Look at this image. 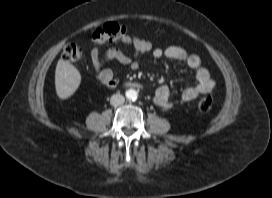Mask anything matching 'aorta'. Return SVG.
<instances>
[{
    "label": "aorta",
    "instance_id": "obj_1",
    "mask_svg": "<svg viewBox=\"0 0 272 198\" xmlns=\"http://www.w3.org/2000/svg\"><path fill=\"white\" fill-rule=\"evenodd\" d=\"M126 97L128 100L135 101L138 97V92L134 89H129L126 91Z\"/></svg>",
    "mask_w": 272,
    "mask_h": 198
}]
</instances>
